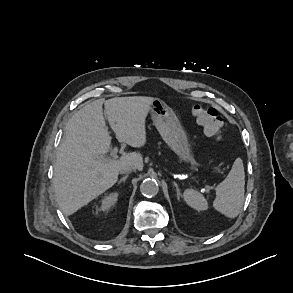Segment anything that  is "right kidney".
I'll return each mask as SVG.
<instances>
[{
  "instance_id": "1",
  "label": "right kidney",
  "mask_w": 293,
  "mask_h": 293,
  "mask_svg": "<svg viewBox=\"0 0 293 293\" xmlns=\"http://www.w3.org/2000/svg\"><path fill=\"white\" fill-rule=\"evenodd\" d=\"M118 194L111 193L102 200L101 210L106 211L117 201Z\"/></svg>"
}]
</instances>
